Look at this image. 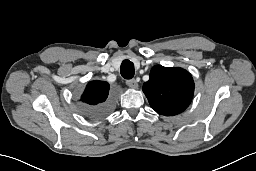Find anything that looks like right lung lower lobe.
Instances as JSON below:
<instances>
[{
	"label": "right lung lower lobe",
	"mask_w": 256,
	"mask_h": 171,
	"mask_svg": "<svg viewBox=\"0 0 256 171\" xmlns=\"http://www.w3.org/2000/svg\"><path fill=\"white\" fill-rule=\"evenodd\" d=\"M113 107V101L109 98L106 102L99 104L94 107L85 108L84 114L85 116L95 119V118H101L112 110Z\"/></svg>",
	"instance_id": "1"
}]
</instances>
